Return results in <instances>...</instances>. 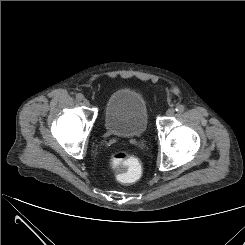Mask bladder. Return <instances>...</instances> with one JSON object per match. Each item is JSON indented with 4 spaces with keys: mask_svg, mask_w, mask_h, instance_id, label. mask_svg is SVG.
Returning a JSON list of instances; mask_svg holds the SVG:
<instances>
[{
    "mask_svg": "<svg viewBox=\"0 0 245 245\" xmlns=\"http://www.w3.org/2000/svg\"><path fill=\"white\" fill-rule=\"evenodd\" d=\"M148 124V110L143 96L132 89L113 92L104 105V128L115 136L137 137Z\"/></svg>",
    "mask_w": 245,
    "mask_h": 245,
    "instance_id": "obj_1",
    "label": "bladder"
}]
</instances>
